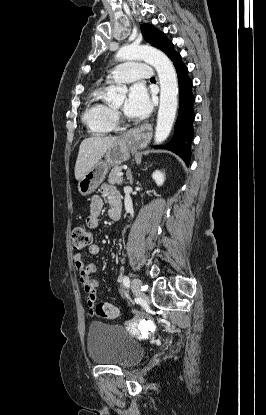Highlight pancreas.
<instances>
[{"instance_id": "1", "label": "pancreas", "mask_w": 266, "mask_h": 415, "mask_svg": "<svg viewBox=\"0 0 266 415\" xmlns=\"http://www.w3.org/2000/svg\"><path fill=\"white\" fill-rule=\"evenodd\" d=\"M121 170H122V167H120V166H115L111 170V172L109 173V176H108V183L109 184H112V185H114V184L122 185L123 178H122V176L120 177V176L117 175L119 172H121Z\"/></svg>"}]
</instances>
